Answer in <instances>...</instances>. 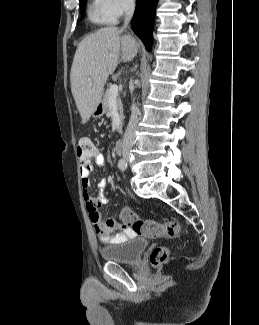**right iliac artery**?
Listing matches in <instances>:
<instances>
[{
	"instance_id": "1",
	"label": "right iliac artery",
	"mask_w": 259,
	"mask_h": 325,
	"mask_svg": "<svg viewBox=\"0 0 259 325\" xmlns=\"http://www.w3.org/2000/svg\"><path fill=\"white\" fill-rule=\"evenodd\" d=\"M122 165H127V162L124 159H120L118 161V167H119L120 170H121Z\"/></svg>"
}]
</instances>
